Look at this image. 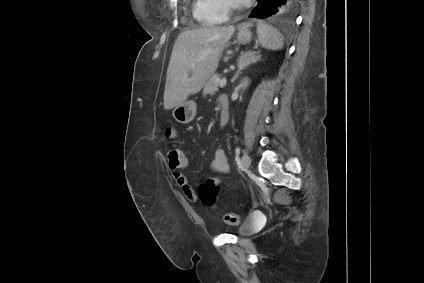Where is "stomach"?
I'll return each mask as SVG.
<instances>
[{
  "label": "stomach",
  "mask_w": 424,
  "mask_h": 283,
  "mask_svg": "<svg viewBox=\"0 0 424 283\" xmlns=\"http://www.w3.org/2000/svg\"><path fill=\"white\" fill-rule=\"evenodd\" d=\"M251 32L244 28L240 29L237 35L240 44H247L251 41ZM196 103L192 100L183 102L173 110V117L175 120L182 124L191 122L196 115Z\"/></svg>",
  "instance_id": "obj_1"
}]
</instances>
